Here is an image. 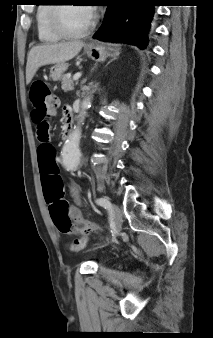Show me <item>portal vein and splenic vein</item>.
<instances>
[{"mask_svg":"<svg viewBox=\"0 0 213 338\" xmlns=\"http://www.w3.org/2000/svg\"><path fill=\"white\" fill-rule=\"evenodd\" d=\"M81 75H82L81 72L75 73L74 76H73V80H75V81L78 80L81 77Z\"/></svg>","mask_w":213,"mask_h":338,"instance_id":"1","label":"portal vein and splenic vein"}]
</instances>
